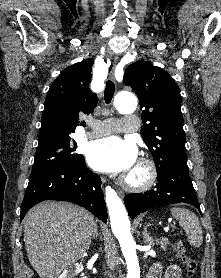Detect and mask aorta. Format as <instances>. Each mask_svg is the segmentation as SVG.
<instances>
[{
  "mask_svg": "<svg viewBox=\"0 0 221 278\" xmlns=\"http://www.w3.org/2000/svg\"><path fill=\"white\" fill-rule=\"evenodd\" d=\"M115 107L120 113L133 111L137 100L130 93H120L115 98ZM105 199L109 211L111 228L118 239L127 264L126 278H140V267L136 254V243L130 232V221L122 200L110 186L105 188Z\"/></svg>",
  "mask_w": 221,
  "mask_h": 278,
  "instance_id": "aorta-1",
  "label": "aorta"
}]
</instances>
